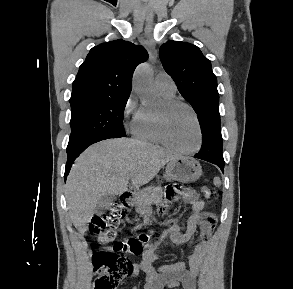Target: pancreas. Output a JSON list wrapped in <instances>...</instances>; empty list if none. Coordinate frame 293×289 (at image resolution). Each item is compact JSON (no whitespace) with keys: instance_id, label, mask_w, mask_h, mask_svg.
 I'll use <instances>...</instances> for the list:
<instances>
[{"instance_id":"1","label":"pancreas","mask_w":293,"mask_h":289,"mask_svg":"<svg viewBox=\"0 0 293 289\" xmlns=\"http://www.w3.org/2000/svg\"><path fill=\"white\" fill-rule=\"evenodd\" d=\"M163 192L160 186L150 187L137 192L134 196L136 212L143 215L149 209L153 202L162 198Z\"/></svg>"}]
</instances>
